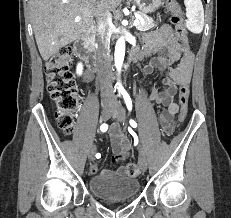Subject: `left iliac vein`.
Here are the masks:
<instances>
[{
	"label": "left iliac vein",
	"instance_id": "obj_1",
	"mask_svg": "<svg viewBox=\"0 0 231 218\" xmlns=\"http://www.w3.org/2000/svg\"><path fill=\"white\" fill-rule=\"evenodd\" d=\"M113 116L118 119L120 122H125L126 119V111L124 107L120 103H116L113 109ZM139 166L142 171L147 170V158L146 153L143 148L139 150Z\"/></svg>",
	"mask_w": 231,
	"mask_h": 218
}]
</instances>
